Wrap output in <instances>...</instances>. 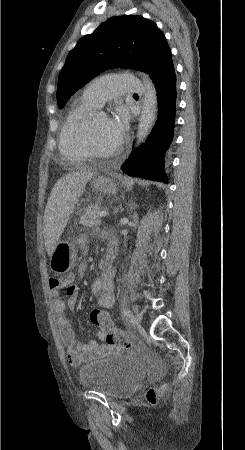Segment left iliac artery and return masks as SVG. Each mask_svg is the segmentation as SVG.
<instances>
[{
	"label": "left iliac artery",
	"instance_id": "obj_1",
	"mask_svg": "<svg viewBox=\"0 0 245 450\" xmlns=\"http://www.w3.org/2000/svg\"><path fill=\"white\" fill-rule=\"evenodd\" d=\"M123 314H124V316H125L126 318L132 319V313H131V311H130L128 308H125V309H124Z\"/></svg>",
	"mask_w": 245,
	"mask_h": 450
}]
</instances>
